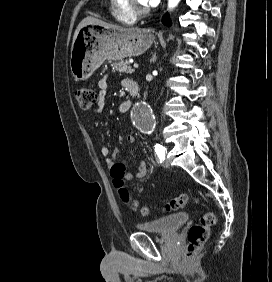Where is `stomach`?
Wrapping results in <instances>:
<instances>
[{
  "label": "stomach",
  "instance_id": "1",
  "mask_svg": "<svg viewBox=\"0 0 272 282\" xmlns=\"http://www.w3.org/2000/svg\"><path fill=\"white\" fill-rule=\"evenodd\" d=\"M154 39L149 29L117 30L86 25L79 30L71 49L72 75L78 81L86 80L105 60L141 55L151 47Z\"/></svg>",
  "mask_w": 272,
  "mask_h": 282
}]
</instances>
